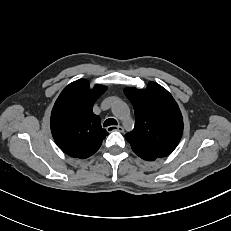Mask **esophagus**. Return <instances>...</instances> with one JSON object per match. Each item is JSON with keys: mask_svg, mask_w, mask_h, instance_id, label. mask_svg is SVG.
Masks as SVG:
<instances>
[{"mask_svg": "<svg viewBox=\"0 0 231 231\" xmlns=\"http://www.w3.org/2000/svg\"><path fill=\"white\" fill-rule=\"evenodd\" d=\"M107 131L108 132H113V131L123 132L124 129L122 126H109V127H107Z\"/></svg>", "mask_w": 231, "mask_h": 231, "instance_id": "34e87169", "label": "esophagus"}]
</instances>
